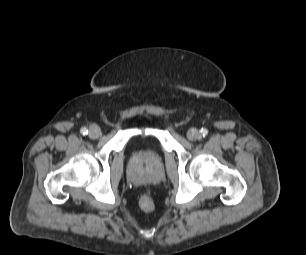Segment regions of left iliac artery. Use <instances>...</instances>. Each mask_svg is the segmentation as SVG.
<instances>
[{"mask_svg":"<svg viewBox=\"0 0 306 255\" xmlns=\"http://www.w3.org/2000/svg\"><path fill=\"white\" fill-rule=\"evenodd\" d=\"M200 134H201V136L205 137L208 134V130L206 128H202L200 130Z\"/></svg>","mask_w":306,"mask_h":255,"instance_id":"1","label":"left iliac artery"}]
</instances>
